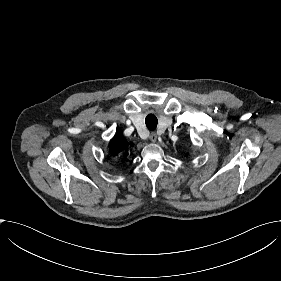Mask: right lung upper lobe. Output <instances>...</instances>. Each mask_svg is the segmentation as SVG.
Masks as SVG:
<instances>
[{
  "instance_id": "obj_1",
  "label": "right lung upper lobe",
  "mask_w": 281,
  "mask_h": 281,
  "mask_svg": "<svg viewBox=\"0 0 281 281\" xmlns=\"http://www.w3.org/2000/svg\"><path fill=\"white\" fill-rule=\"evenodd\" d=\"M121 134H116L109 143V152L111 155H117L119 152L132 146Z\"/></svg>"
}]
</instances>
